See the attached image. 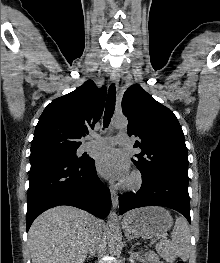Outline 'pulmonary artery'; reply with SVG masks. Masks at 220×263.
<instances>
[{"label": "pulmonary artery", "instance_id": "obj_1", "mask_svg": "<svg viewBox=\"0 0 220 263\" xmlns=\"http://www.w3.org/2000/svg\"><path fill=\"white\" fill-rule=\"evenodd\" d=\"M131 142V138L126 133H119L115 137L107 136V137H97L92 138L89 141L82 144L80 150L87 151L91 149H102L108 148L115 144H123L127 145Z\"/></svg>", "mask_w": 220, "mask_h": 263}]
</instances>
